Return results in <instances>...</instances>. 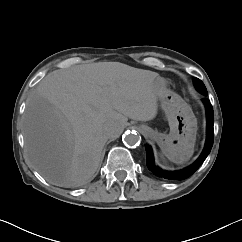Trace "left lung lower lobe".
Wrapping results in <instances>:
<instances>
[{
  "label": "left lung lower lobe",
  "instance_id": "obj_1",
  "mask_svg": "<svg viewBox=\"0 0 242 242\" xmlns=\"http://www.w3.org/2000/svg\"><path fill=\"white\" fill-rule=\"evenodd\" d=\"M202 101L205 104L206 113H207V139H206V144L203 152L201 153L199 158L189 167L179 171H165L155 165L152 149L150 146L145 145L147 166L149 170L157 177H161L169 180H184L190 177L201 166V164L204 162V160L210 153L213 145V139H214V132H213L214 113H213V108H212V105L210 104V101L206 98H203Z\"/></svg>",
  "mask_w": 242,
  "mask_h": 242
}]
</instances>
